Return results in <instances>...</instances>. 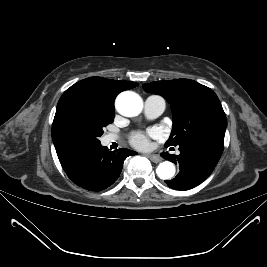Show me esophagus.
I'll return each mask as SVG.
<instances>
[{
  "mask_svg": "<svg viewBox=\"0 0 267 267\" xmlns=\"http://www.w3.org/2000/svg\"><path fill=\"white\" fill-rule=\"evenodd\" d=\"M146 156L154 163H158L162 160V158L159 155L147 154Z\"/></svg>",
  "mask_w": 267,
  "mask_h": 267,
  "instance_id": "1",
  "label": "esophagus"
}]
</instances>
